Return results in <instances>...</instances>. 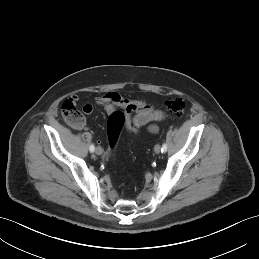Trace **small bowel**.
Here are the masks:
<instances>
[{"instance_id":"small-bowel-1","label":"small bowel","mask_w":259,"mask_h":259,"mask_svg":"<svg viewBox=\"0 0 259 259\" xmlns=\"http://www.w3.org/2000/svg\"><path fill=\"white\" fill-rule=\"evenodd\" d=\"M96 104L102 107L107 113H112L117 107L124 109L127 116V131L131 134H137L139 130L146 127L150 133H157L158 122L165 119V113L156 110L146 99H129L117 91L104 92L96 98ZM86 114L93 112V107L86 104L83 107ZM84 123L77 127L83 129Z\"/></svg>"}]
</instances>
